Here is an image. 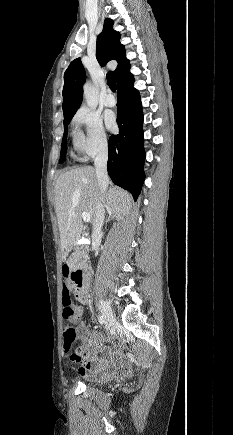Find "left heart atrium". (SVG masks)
<instances>
[{
	"instance_id": "left-heart-atrium-1",
	"label": "left heart atrium",
	"mask_w": 233,
	"mask_h": 435,
	"mask_svg": "<svg viewBox=\"0 0 233 435\" xmlns=\"http://www.w3.org/2000/svg\"><path fill=\"white\" fill-rule=\"evenodd\" d=\"M105 123L108 128L112 129L115 127V116L112 113L105 114Z\"/></svg>"
}]
</instances>
